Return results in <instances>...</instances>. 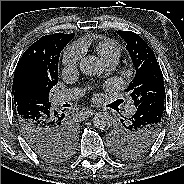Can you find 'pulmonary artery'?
Segmentation results:
<instances>
[{
	"instance_id": "e3ab8cb5",
	"label": "pulmonary artery",
	"mask_w": 184,
	"mask_h": 184,
	"mask_svg": "<svg viewBox=\"0 0 184 184\" xmlns=\"http://www.w3.org/2000/svg\"><path fill=\"white\" fill-rule=\"evenodd\" d=\"M106 68L108 70H112L115 68V66L117 65L116 61H109L105 63ZM80 95V91L77 89H65V90H61L56 92L53 95L52 98V102L54 105H60L66 102H69L75 98H77ZM136 111V108L134 105L129 104L127 106V113L128 114H133Z\"/></svg>"
}]
</instances>
